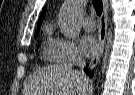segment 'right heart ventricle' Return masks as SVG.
I'll return each mask as SVG.
<instances>
[{"label": "right heart ventricle", "mask_w": 135, "mask_h": 95, "mask_svg": "<svg viewBox=\"0 0 135 95\" xmlns=\"http://www.w3.org/2000/svg\"><path fill=\"white\" fill-rule=\"evenodd\" d=\"M52 32H53V26H52V24H48L44 30L45 37H46L47 41H46V45L43 49V54L49 60H53L52 42L54 39H52V37H51Z\"/></svg>", "instance_id": "right-heart-ventricle-1"}]
</instances>
